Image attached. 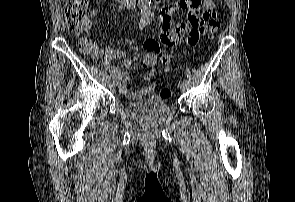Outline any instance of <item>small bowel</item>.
Segmentation results:
<instances>
[{"label": "small bowel", "instance_id": "obj_1", "mask_svg": "<svg viewBox=\"0 0 295 202\" xmlns=\"http://www.w3.org/2000/svg\"><path fill=\"white\" fill-rule=\"evenodd\" d=\"M214 8L215 3L213 0H177L174 3L165 5L159 14L161 26L159 42L146 41L143 44L144 48L149 50V52H157V60L165 64L164 70L167 72L169 70V64L173 61V57L170 54L162 53L161 45L165 47H175L183 41L188 45H194ZM179 10H187L189 20L187 23L181 22L174 25L172 23V14ZM98 13V9L93 8L90 11V16L96 17ZM84 40L91 46V50L88 51V53L92 57H102V49L92 39L85 38ZM144 56H146V54ZM106 57L107 59H122L126 67H130L134 60V58L126 57L124 52L118 49L107 50ZM109 72L115 79L119 91L130 100L138 101L154 92V90H145V87L130 90L127 87L129 79L128 73L122 71L118 66H110ZM143 77L145 80L150 81L153 79L154 75H147V72H145Z\"/></svg>", "mask_w": 295, "mask_h": 202}]
</instances>
